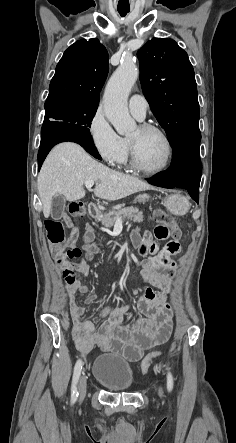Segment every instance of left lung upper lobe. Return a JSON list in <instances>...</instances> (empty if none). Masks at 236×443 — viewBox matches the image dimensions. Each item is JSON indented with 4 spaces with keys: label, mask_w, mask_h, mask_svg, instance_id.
<instances>
[{
    "label": "left lung upper lobe",
    "mask_w": 236,
    "mask_h": 443,
    "mask_svg": "<svg viewBox=\"0 0 236 443\" xmlns=\"http://www.w3.org/2000/svg\"><path fill=\"white\" fill-rule=\"evenodd\" d=\"M143 93L172 147L198 133L199 103L193 67L172 39L153 38L137 53Z\"/></svg>",
    "instance_id": "left-lung-upper-lobe-1"
}]
</instances>
